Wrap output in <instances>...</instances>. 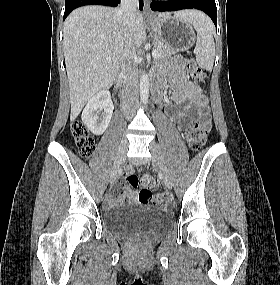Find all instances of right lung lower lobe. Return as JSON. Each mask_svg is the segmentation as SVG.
Returning <instances> with one entry per match:
<instances>
[{
  "label": "right lung lower lobe",
  "instance_id": "obj_1",
  "mask_svg": "<svg viewBox=\"0 0 280 285\" xmlns=\"http://www.w3.org/2000/svg\"><path fill=\"white\" fill-rule=\"evenodd\" d=\"M120 0H65L64 19L70 14L72 10L84 5H105L117 6ZM139 9H143V0H139Z\"/></svg>",
  "mask_w": 280,
  "mask_h": 285
}]
</instances>
